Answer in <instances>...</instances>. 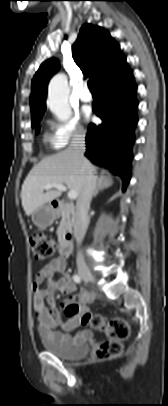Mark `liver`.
Here are the masks:
<instances>
[{
	"label": "liver",
	"instance_id": "6515ba94",
	"mask_svg": "<svg viewBox=\"0 0 168 406\" xmlns=\"http://www.w3.org/2000/svg\"><path fill=\"white\" fill-rule=\"evenodd\" d=\"M85 163L94 170L93 165L85 159ZM82 166L68 149L44 158L36 164L27 175L21 190L22 206L27 216L39 207L51 202L61 195V190H47V184H66L70 191L80 195L82 182Z\"/></svg>",
	"mask_w": 168,
	"mask_h": 406
}]
</instances>
